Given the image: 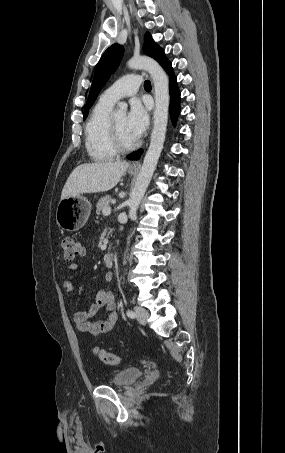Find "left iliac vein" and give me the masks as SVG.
<instances>
[{
	"instance_id": "1",
	"label": "left iliac vein",
	"mask_w": 285,
	"mask_h": 453,
	"mask_svg": "<svg viewBox=\"0 0 285 453\" xmlns=\"http://www.w3.org/2000/svg\"><path fill=\"white\" fill-rule=\"evenodd\" d=\"M135 312L139 323L145 325L149 316L147 310L137 306L135 307Z\"/></svg>"
}]
</instances>
